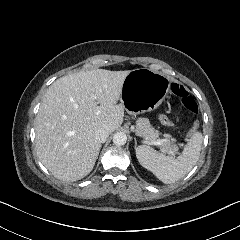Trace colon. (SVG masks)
Segmentation results:
<instances>
[{"label":"colon","instance_id":"colon-1","mask_svg":"<svg viewBox=\"0 0 240 240\" xmlns=\"http://www.w3.org/2000/svg\"><path fill=\"white\" fill-rule=\"evenodd\" d=\"M175 90L179 92V97L181 100V104L185 106V108L191 112L192 114L197 113V105L194 103L192 99H190L186 94H185V88L182 86L176 87ZM158 122H162L167 126L168 128H173V119H170L169 116L166 115H158ZM198 130V123L197 121H194L193 125L190 126V131L193 133L194 131ZM186 138L190 139L191 138V133L187 132L186 133Z\"/></svg>","mask_w":240,"mask_h":240}]
</instances>
